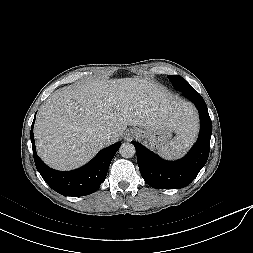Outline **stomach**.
Segmentation results:
<instances>
[{
	"instance_id": "0dacf381",
	"label": "stomach",
	"mask_w": 253,
	"mask_h": 253,
	"mask_svg": "<svg viewBox=\"0 0 253 253\" xmlns=\"http://www.w3.org/2000/svg\"><path fill=\"white\" fill-rule=\"evenodd\" d=\"M138 138L144 139L151 149H160L163 145L169 142L171 139V130L165 125L146 129L135 128Z\"/></svg>"
}]
</instances>
